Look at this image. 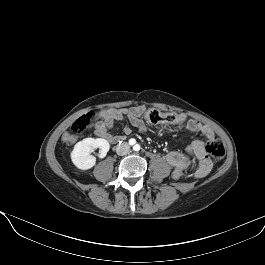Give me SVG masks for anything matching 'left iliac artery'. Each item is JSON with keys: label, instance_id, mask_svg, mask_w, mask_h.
<instances>
[{"label": "left iliac artery", "instance_id": "left-iliac-artery-1", "mask_svg": "<svg viewBox=\"0 0 265 265\" xmlns=\"http://www.w3.org/2000/svg\"><path fill=\"white\" fill-rule=\"evenodd\" d=\"M134 150L139 151V150H140V145L136 144V145L134 146Z\"/></svg>", "mask_w": 265, "mask_h": 265}]
</instances>
